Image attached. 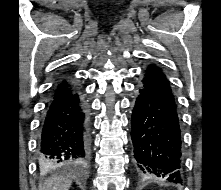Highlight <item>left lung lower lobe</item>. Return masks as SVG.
<instances>
[{
  "label": "left lung lower lobe",
  "instance_id": "left-lung-lower-lobe-1",
  "mask_svg": "<svg viewBox=\"0 0 221 190\" xmlns=\"http://www.w3.org/2000/svg\"><path fill=\"white\" fill-rule=\"evenodd\" d=\"M136 170L182 183L181 130L175 97L157 66L145 71L131 117Z\"/></svg>",
  "mask_w": 221,
  "mask_h": 190
}]
</instances>
